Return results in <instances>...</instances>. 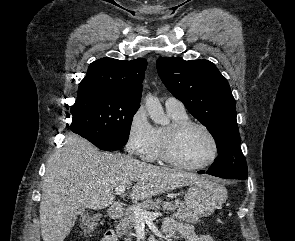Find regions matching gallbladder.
I'll use <instances>...</instances> for the list:
<instances>
[{
	"instance_id": "bac80fb5",
	"label": "gallbladder",
	"mask_w": 295,
	"mask_h": 241,
	"mask_svg": "<svg viewBox=\"0 0 295 241\" xmlns=\"http://www.w3.org/2000/svg\"><path fill=\"white\" fill-rule=\"evenodd\" d=\"M84 212H85V209L84 208H79L78 209V214L79 215H82Z\"/></svg>"
}]
</instances>
